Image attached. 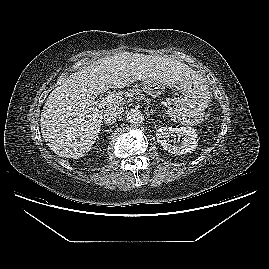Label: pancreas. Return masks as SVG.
<instances>
[{"label":"pancreas","instance_id":"1","mask_svg":"<svg viewBox=\"0 0 269 269\" xmlns=\"http://www.w3.org/2000/svg\"><path fill=\"white\" fill-rule=\"evenodd\" d=\"M128 93L132 96L139 97L141 95V90L138 88H132L128 90ZM169 114L175 116V118L177 117L174 112H170Z\"/></svg>","mask_w":269,"mask_h":269}]
</instances>
